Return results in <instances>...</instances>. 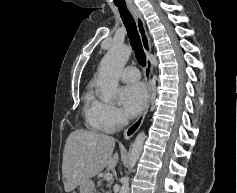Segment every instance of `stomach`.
Instances as JSON below:
<instances>
[{"instance_id": "obj_1", "label": "stomach", "mask_w": 237, "mask_h": 193, "mask_svg": "<svg viewBox=\"0 0 237 193\" xmlns=\"http://www.w3.org/2000/svg\"><path fill=\"white\" fill-rule=\"evenodd\" d=\"M94 183L91 180H88L82 183L79 187V193H93Z\"/></svg>"}]
</instances>
